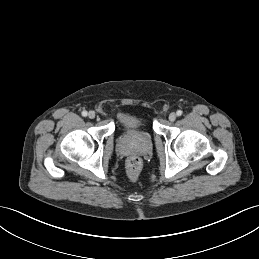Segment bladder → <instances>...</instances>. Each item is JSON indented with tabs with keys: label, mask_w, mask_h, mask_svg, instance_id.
<instances>
[{
	"label": "bladder",
	"mask_w": 259,
	"mask_h": 259,
	"mask_svg": "<svg viewBox=\"0 0 259 259\" xmlns=\"http://www.w3.org/2000/svg\"><path fill=\"white\" fill-rule=\"evenodd\" d=\"M120 120L124 123L134 122V121H140L142 120L141 117L134 115V114H123L120 118Z\"/></svg>",
	"instance_id": "obj_1"
}]
</instances>
